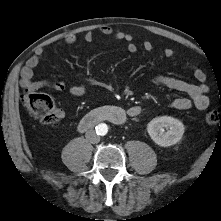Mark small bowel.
Returning <instances> with one entry per match:
<instances>
[{"mask_svg": "<svg viewBox=\"0 0 221 221\" xmlns=\"http://www.w3.org/2000/svg\"><path fill=\"white\" fill-rule=\"evenodd\" d=\"M98 33L104 37L111 38L117 41H125L126 49L129 53L133 54L138 51L137 44L133 41L132 36L123 32H115L110 26L103 25L98 29ZM95 33L88 31L84 34V41L86 43H92L95 40ZM65 43L74 44L77 41V37L74 34H68L64 38ZM143 49L145 51H151L154 49V44L151 41H145L143 43ZM43 49H36L33 56H31L24 67L21 70L20 84L22 88L27 92L36 91L42 88H52L55 90H64L66 84L62 80H34V69L39 64L42 56ZM166 58H172L175 52L172 48H166L163 51ZM192 75L197 83H191L186 80L175 78L167 75H157L155 77V83L166 87L168 89L185 94V96L178 97L173 100L172 107L176 110H187L192 107L198 110H205L210 103L207 95L208 87L206 85V75L198 67L193 66L191 68ZM69 92L73 96H82L86 92V86L84 84H76L69 88ZM128 113L132 117H136L141 113L139 106H132L128 109Z\"/></svg>", "mask_w": 221, "mask_h": 221, "instance_id": "c3829d8e", "label": "small bowel"}]
</instances>
